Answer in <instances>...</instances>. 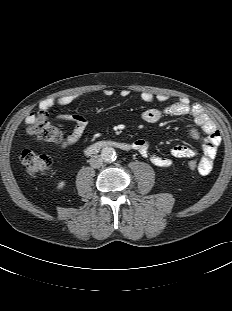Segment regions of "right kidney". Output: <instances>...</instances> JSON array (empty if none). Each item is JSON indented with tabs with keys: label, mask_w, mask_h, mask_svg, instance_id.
Wrapping results in <instances>:
<instances>
[{
	"label": "right kidney",
	"mask_w": 232,
	"mask_h": 311,
	"mask_svg": "<svg viewBox=\"0 0 232 311\" xmlns=\"http://www.w3.org/2000/svg\"><path fill=\"white\" fill-rule=\"evenodd\" d=\"M64 186H65V182H64V181H61V182L58 183L57 188H58V189H62Z\"/></svg>",
	"instance_id": "right-kidney-1"
}]
</instances>
